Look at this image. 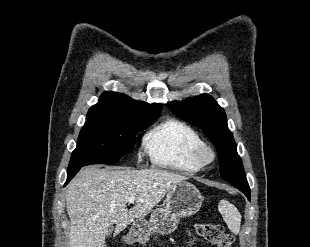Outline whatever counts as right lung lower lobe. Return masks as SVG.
Returning a JSON list of instances; mask_svg holds the SVG:
<instances>
[{
  "label": "right lung lower lobe",
  "mask_w": 310,
  "mask_h": 247,
  "mask_svg": "<svg viewBox=\"0 0 310 247\" xmlns=\"http://www.w3.org/2000/svg\"><path fill=\"white\" fill-rule=\"evenodd\" d=\"M80 169H81V167L68 170V176H67V181H66L65 185H67V183L77 174V172Z\"/></svg>",
  "instance_id": "right-lung-lower-lobe-1"
}]
</instances>
